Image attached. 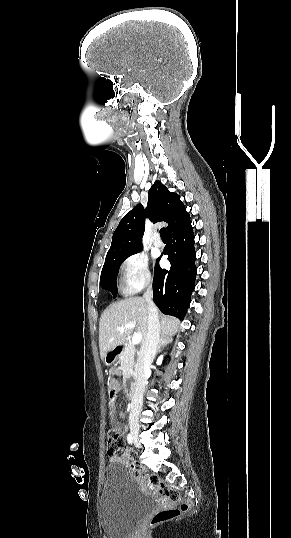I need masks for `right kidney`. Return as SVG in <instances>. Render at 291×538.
Listing matches in <instances>:
<instances>
[{
  "label": "right kidney",
  "instance_id": "1",
  "mask_svg": "<svg viewBox=\"0 0 291 538\" xmlns=\"http://www.w3.org/2000/svg\"><path fill=\"white\" fill-rule=\"evenodd\" d=\"M162 360H163V355H161V356L157 359V365H161Z\"/></svg>",
  "mask_w": 291,
  "mask_h": 538
}]
</instances>
